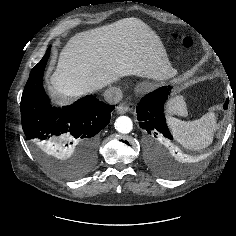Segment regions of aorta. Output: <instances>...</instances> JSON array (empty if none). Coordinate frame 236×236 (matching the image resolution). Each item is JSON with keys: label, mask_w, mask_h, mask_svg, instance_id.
Returning <instances> with one entry per match:
<instances>
[{"label": "aorta", "mask_w": 236, "mask_h": 236, "mask_svg": "<svg viewBox=\"0 0 236 236\" xmlns=\"http://www.w3.org/2000/svg\"><path fill=\"white\" fill-rule=\"evenodd\" d=\"M115 129L119 133L127 134L130 133L133 128L132 120L127 116H120L115 121Z\"/></svg>", "instance_id": "aorta-1"}]
</instances>
